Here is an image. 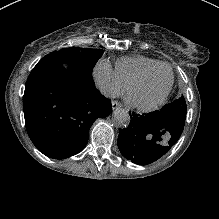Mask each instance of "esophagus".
<instances>
[{"label": "esophagus", "instance_id": "obj_1", "mask_svg": "<svg viewBox=\"0 0 219 219\" xmlns=\"http://www.w3.org/2000/svg\"><path fill=\"white\" fill-rule=\"evenodd\" d=\"M122 106V104L120 103V102H118V101H112V109L114 110V109H117V108H119V107H121Z\"/></svg>", "mask_w": 219, "mask_h": 219}]
</instances>
